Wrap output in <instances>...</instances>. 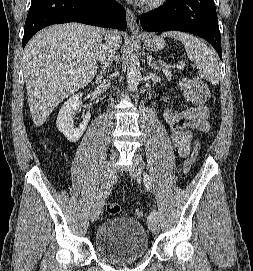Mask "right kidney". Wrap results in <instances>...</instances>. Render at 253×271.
Returning <instances> with one entry per match:
<instances>
[{
    "instance_id": "right-kidney-1",
    "label": "right kidney",
    "mask_w": 253,
    "mask_h": 271,
    "mask_svg": "<svg viewBox=\"0 0 253 271\" xmlns=\"http://www.w3.org/2000/svg\"><path fill=\"white\" fill-rule=\"evenodd\" d=\"M81 105L82 94H75L64 102L57 116V128L70 142H76L80 139L90 121L91 115L88 112L79 127L74 126L72 117L80 109Z\"/></svg>"
}]
</instances>
